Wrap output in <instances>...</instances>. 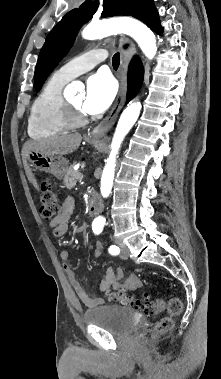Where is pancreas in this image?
<instances>
[{
    "label": "pancreas",
    "mask_w": 221,
    "mask_h": 379,
    "mask_svg": "<svg viewBox=\"0 0 221 379\" xmlns=\"http://www.w3.org/2000/svg\"><path fill=\"white\" fill-rule=\"evenodd\" d=\"M81 173L74 170L73 166H70L67 170V173L64 176V184L68 189L73 188L77 181L80 179Z\"/></svg>",
    "instance_id": "obj_1"
}]
</instances>
